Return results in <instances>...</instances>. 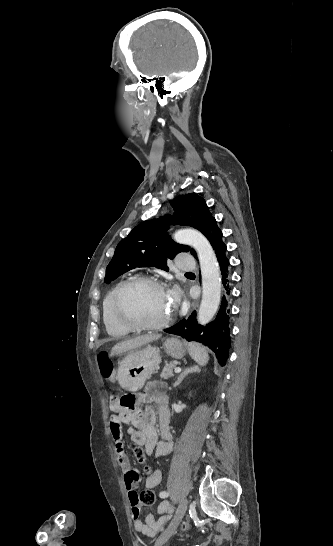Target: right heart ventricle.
<instances>
[{
  "instance_id": "obj_1",
  "label": "right heart ventricle",
  "mask_w": 333,
  "mask_h": 546,
  "mask_svg": "<svg viewBox=\"0 0 333 546\" xmlns=\"http://www.w3.org/2000/svg\"><path fill=\"white\" fill-rule=\"evenodd\" d=\"M123 279L115 283L107 292L102 302V319L107 333L112 337H123L128 335L131 330L122 325L114 313V299L118 289L127 281Z\"/></svg>"
}]
</instances>
